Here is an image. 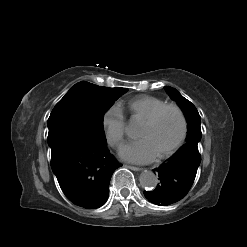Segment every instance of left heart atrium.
I'll return each mask as SVG.
<instances>
[{
  "instance_id": "39dd6f15",
  "label": "left heart atrium",
  "mask_w": 247,
  "mask_h": 247,
  "mask_svg": "<svg viewBox=\"0 0 247 247\" xmlns=\"http://www.w3.org/2000/svg\"><path fill=\"white\" fill-rule=\"evenodd\" d=\"M119 156L129 162L145 164L153 161L157 153L150 142L142 138L123 145L119 151Z\"/></svg>"
}]
</instances>
